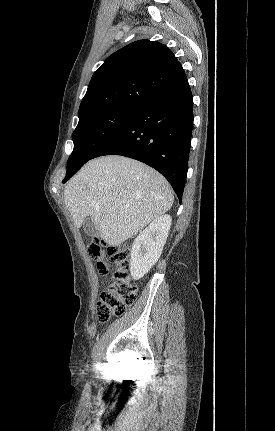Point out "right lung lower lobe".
<instances>
[{"label": "right lung lower lobe", "mask_w": 275, "mask_h": 431, "mask_svg": "<svg viewBox=\"0 0 275 431\" xmlns=\"http://www.w3.org/2000/svg\"><path fill=\"white\" fill-rule=\"evenodd\" d=\"M192 129L193 97L186 78L139 107L123 128L91 159L103 155H122L139 160L164 175L181 200Z\"/></svg>", "instance_id": "98d812e1"}]
</instances>
